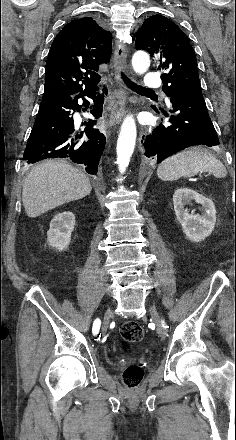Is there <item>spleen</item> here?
<instances>
[{"label":"spleen","mask_w":236,"mask_h":440,"mask_svg":"<svg viewBox=\"0 0 236 440\" xmlns=\"http://www.w3.org/2000/svg\"><path fill=\"white\" fill-rule=\"evenodd\" d=\"M199 172H210L217 178L227 175L223 163L207 151L190 148L165 159L157 168V176L163 181L189 178Z\"/></svg>","instance_id":"3e777b00"}]
</instances>
